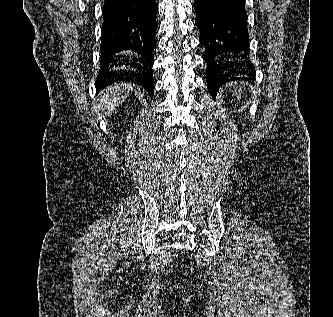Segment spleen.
<instances>
[{
  "label": "spleen",
  "instance_id": "1",
  "mask_svg": "<svg viewBox=\"0 0 333 317\" xmlns=\"http://www.w3.org/2000/svg\"><path fill=\"white\" fill-rule=\"evenodd\" d=\"M235 93L237 94V97H240V95H241V93H242V91H241V89L237 92V91H235ZM239 95V96H238Z\"/></svg>",
  "mask_w": 333,
  "mask_h": 317
}]
</instances>
